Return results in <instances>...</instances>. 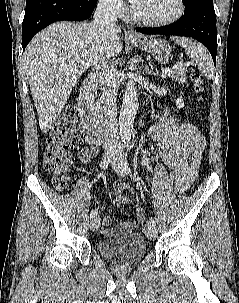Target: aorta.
<instances>
[{
    "mask_svg": "<svg viewBox=\"0 0 239 303\" xmlns=\"http://www.w3.org/2000/svg\"><path fill=\"white\" fill-rule=\"evenodd\" d=\"M137 110L138 98L136 86L132 82H129L126 86L119 116L120 136L123 142H129L131 139Z\"/></svg>",
    "mask_w": 239,
    "mask_h": 303,
    "instance_id": "aorta-1",
    "label": "aorta"
}]
</instances>
